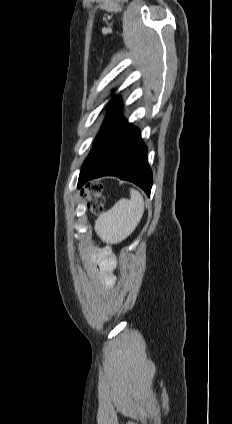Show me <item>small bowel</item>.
<instances>
[{
	"label": "small bowel",
	"mask_w": 232,
	"mask_h": 424,
	"mask_svg": "<svg viewBox=\"0 0 232 424\" xmlns=\"http://www.w3.org/2000/svg\"><path fill=\"white\" fill-rule=\"evenodd\" d=\"M93 271L98 273L100 280L106 285H111L113 283L114 279L109 272V267L106 265V262H97Z\"/></svg>",
	"instance_id": "c3829d8e"
}]
</instances>
